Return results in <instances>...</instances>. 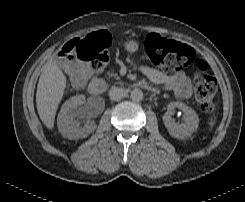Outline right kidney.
I'll use <instances>...</instances> for the list:
<instances>
[{
	"label": "right kidney",
	"mask_w": 245,
	"mask_h": 202,
	"mask_svg": "<svg viewBox=\"0 0 245 202\" xmlns=\"http://www.w3.org/2000/svg\"><path fill=\"white\" fill-rule=\"evenodd\" d=\"M85 103L84 95H77L67 100L61 107L58 114L57 125L59 132L69 139L85 138L91 134L96 125L93 121H87L85 125H81L75 120L82 112L77 107Z\"/></svg>",
	"instance_id": "obj_1"
}]
</instances>
